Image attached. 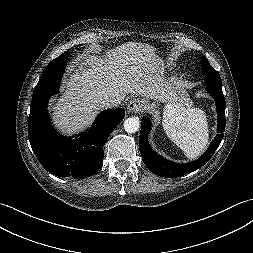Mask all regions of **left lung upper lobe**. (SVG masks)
I'll return each mask as SVG.
<instances>
[{"mask_svg":"<svg viewBox=\"0 0 253 253\" xmlns=\"http://www.w3.org/2000/svg\"><path fill=\"white\" fill-rule=\"evenodd\" d=\"M202 70L206 76L220 78L218 72L209 64L205 57L202 59Z\"/></svg>","mask_w":253,"mask_h":253,"instance_id":"obj_1","label":"left lung upper lobe"}]
</instances>
